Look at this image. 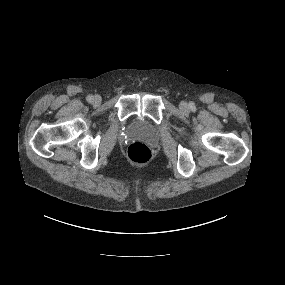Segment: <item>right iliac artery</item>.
<instances>
[{"label": "right iliac artery", "instance_id": "right-iliac-artery-1", "mask_svg": "<svg viewBox=\"0 0 285 285\" xmlns=\"http://www.w3.org/2000/svg\"><path fill=\"white\" fill-rule=\"evenodd\" d=\"M93 99H94V98H93L92 95H88L87 98H86V100H87L88 102H92Z\"/></svg>", "mask_w": 285, "mask_h": 285}]
</instances>
